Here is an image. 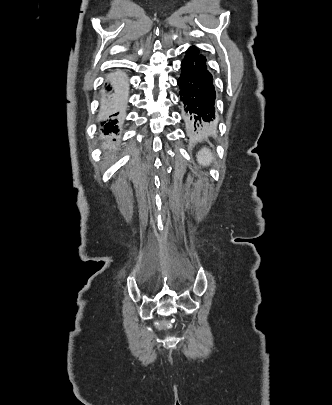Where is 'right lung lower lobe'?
I'll use <instances>...</instances> for the list:
<instances>
[{"instance_id": "98d812e1", "label": "right lung lower lobe", "mask_w": 332, "mask_h": 405, "mask_svg": "<svg viewBox=\"0 0 332 405\" xmlns=\"http://www.w3.org/2000/svg\"><path fill=\"white\" fill-rule=\"evenodd\" d=\"M128 85L123 76H115L105 84V96L102 100V110L109 115V119L101 123L104 133H117L118 116L126 104ZM121 115V114H120Z\"/></svg>"}]
</instances>
